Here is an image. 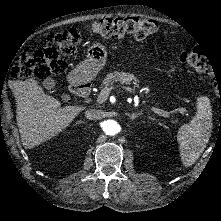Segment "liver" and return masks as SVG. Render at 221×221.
Instances as JSON below:
<instances>
[{
  "mask_svg": "<svg viewBox=\"0 0 221 221\" xmlns=\"http://www.w3.org/2000/svg\"><path fill=\"white\" fill-rule=\"evenodd\" d=\"M16 105V124L24 147H33L64 129L83 110L65 106L43 92L35 81H16L11 86Z\"/></svg>",
  "mask_w": 221,
  "mask_h": 221,
  "instance_id": "6515ba94",
  "label": "liver"
}]
</instances>
